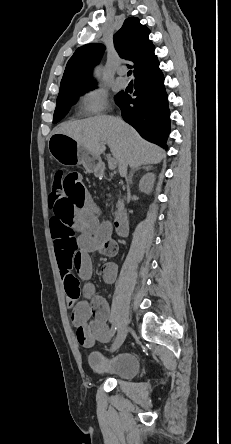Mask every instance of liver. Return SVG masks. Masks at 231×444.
Returning <instances> with one entry per match:
<instances>
[{
  "mask_svg": "<svg viewBox=\"0 0 231 444\" xmlns=\"http://www.w3.org/2000/svg\"><path fill=\"white\" fill-rule=\"evenodd\" d=\"M73 138L79 145L100 157L107 144L120 167L129 165L137 168L146 164H157L164 157L163 149L149 143L120 118L95 116L84 120L62 123L53 131Z\"/></svg>",
  "mask_w": 231,
  "mask_h": 444,
  "instance_id": "obj_1",
  "label": "liver"
}]
</instances>
